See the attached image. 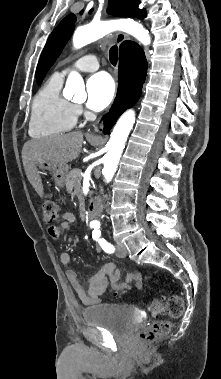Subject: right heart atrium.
<instances>
[{
    "mask_svg": "<svg viewBox=\"0 0 221 379\" xmlns=\"http://www.w3.org/2000/svg\"><path fill=\"white\" fill-rule=\"evenodd\" d=\"M74 110H75L76 115H80L83 111L80 105H75Z\"/></svg>",
    "mask_w": 221,
    "mask_h": 379,
    "instance_id": "1",
    "label": "right heart atrium"
}]
</instances>
